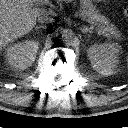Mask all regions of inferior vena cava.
<instances>
[{"mask_svg": "<svg viewBox=\"0 0 128 128\" xmlns=\"http://www.w3.org/2000/svg\"><path fill=\"white\" fill-rule=\"evenodd\" d=\"M38 21L40 23H51L53 22V18H51L48 13L43 12L38 15Z\"/></svg>", "mask_w": 128, "mask_h": 128, "instance_id": "obj_1", "label": "inferior vena cava"}]
</instances>
